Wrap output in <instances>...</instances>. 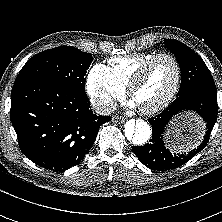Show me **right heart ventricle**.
<instances>
[{"label":"right heart ventricle","mask_w":222,"mask_h":222,"mask_svg":"<svg viewBox=\"0 0 222 222\" xmlns=\"http://www.w3.org/2000/svg\"><path fill=\"white\" fill-rule=\"evenodd\" d=\"M155 55V52H141L114 57L109 60L108 68L114 79L123 87H127L138 68Z\"/></svg>","instance_id":"obj_1"}]
</instances>
